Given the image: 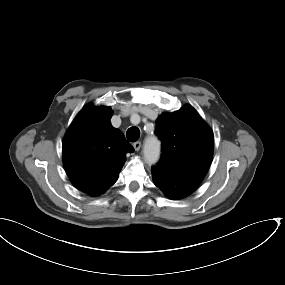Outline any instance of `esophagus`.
<instances>
[{"label": "esophagus", "mask_w": 285, "mask_h": 285, "mask_svg": "<svg viewBox=\"0 0 285 285\" xmlns=\"http://www.w3.org/2000/svg\"><path fill=\"white\" fill-rule=\"evenodd\" d=\"M141 145H142V144H141L140 141H137V142L133 143V147H134V149H135L136 151H139V150H140Z\"/></svg>", "instance_id": "obj_1"}]
</instances>
